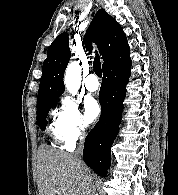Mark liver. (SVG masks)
Returning a JSON list of instances; mask_svg holds the SVG:
<instances>
[{"instance_id":"obj_1","label":"liver","mask_w":178,"mask_h":195,"mask_svg":"<svg viewBox=\"0 0 178 195\" xmlns=\"http://www.w3.org/2000/svg\"><path fill=\"white\" fill-rule=\"evenodd\" d=\"M37 158L39 195H89L90 169L84 164V170L73 154L43 145Z\"/></svg>"}]
</instances>
